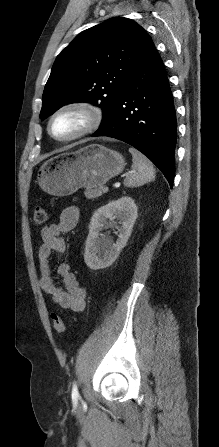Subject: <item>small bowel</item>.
I'll return each mask as SVG.
<instances>
[{
	"instance_id": "small-bowel-1",
	"label": "small bowel",
	"mask_w": 219,
	"mask_h": 447,
	"mask_svg": "<svg viewBox=\"0 0 219 447\" xmlns=\"http://www.w3.org/2000/svg\"><path fill=\"white\" fill-rule=\"evenodd\" d=\"M78 219L79 209L76 206L64 208L57 222L41 229L42 243L38 252L39 283L42 290L49 294L58 306L73 312H81L85 309L86 290L79 284L67 263H61L57 267V274L63 284L59 286L54 277L50 259L53 253L62 254L66 251V242L62 234L74 229Z\"/></svg>"
}]
</instances>
